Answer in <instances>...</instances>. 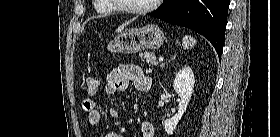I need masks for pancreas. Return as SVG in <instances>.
<instances>
[{
  "instance_id": "obj_1",
  "label": "pancreas",
  "mask_w": 280,
  "mask_h": 137,
  "mask_svg": "<svg viewBox=\"0 0 280 137\" xmlns=\"http://www.w3.org/2000/svg\"><path fill=\"white\" fill-rule=\"evenodd\" d=\"M142 61H145L149 65H156L157 59L154 53L145 52L144 54H141Z\"/></svg>"
}]
</instances>
